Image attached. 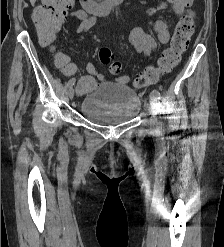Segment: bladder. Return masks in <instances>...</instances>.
I'll use <instances>...</instances> for the list:
<instances>
[{"instance_id": "1", "label": "bladder", "mask_w": 224, "mask_h": 247, "mask_svg": "<svg viewBox=\"0 0 224 247\" xmlns=\"http://www.w3.org/2000/svg\"><path fill=\"white\" fill-rule=\"evenodd\" d=\"M79 109L81 115L95 125L115 126L137 115L139 97L127 85L105 82L85 94Z\"/></svg>"}]
</instances>
